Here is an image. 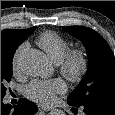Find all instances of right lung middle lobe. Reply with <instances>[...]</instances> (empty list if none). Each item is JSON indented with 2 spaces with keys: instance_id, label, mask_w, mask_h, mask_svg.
<instances>
[{
  "instance_id": "1",
  "label": "right lung middle lobe",
  "mask_w": 115,
  "mask_h": 115,
  "mask_svg": "<svg viewBox=\"0 0 115 115\" xmlns=\"http://www.w3.org/2000/svg\"><path fill=\"white\" fill-rule=\"evenodd\" d=\"M14 52L1 51V98L6 93L5 84L11 80L12 77V60Z\"/></svg>"
}]
</instances>
